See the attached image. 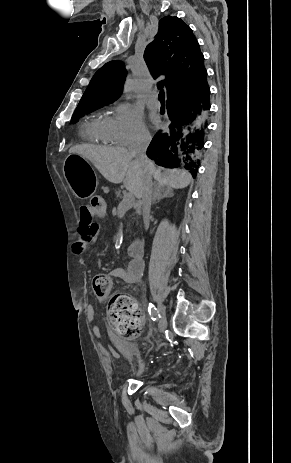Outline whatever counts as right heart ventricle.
<instances>
[{"instance_id": "1", "label": "right heart ventricle", "mask_w": 291, "mask_h": 463, "mask_svg": "<svg viewBox=\"0 0 291 463\" xmlns=\"http://www.w3.org/2000/svg\"><path fill=\"white\" fill-rule=\"evenodd\" d=\"M111 117L107 115L96 116L82 127L83 137L94 143L114 144V139L110 131Z\"/></svg>"}]
</instances>
